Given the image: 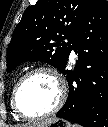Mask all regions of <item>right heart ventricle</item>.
Instances as JSON below:
<instances>
[{
    "label": "right heart ventricle",
    "mask_w": 108,
    "mask_h": 127,
    "mask_svg": "<svg viewBox=\"0 0 108 127\" xmlns=\"http://www.w3.org/2000/svg\"><path fill=\"white\" fill-rule=\"evenodd\" d=\"M14 90V89H13ZM12 94H13V91H12ZM11 104H12V96H11ZM16 116H18L17 114H16Z\"/></svg>",
    "instance_id": "obj_1"
}]
</instances>
